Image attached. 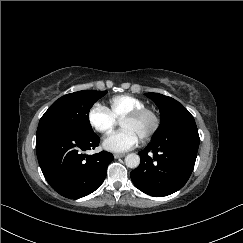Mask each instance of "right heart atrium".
Listing matches in <instances>:
<instances>
[{
    "label": "right heart atrium",
    "instance_id": "obj_1",
    "mask_svg": "<svg viewBox=\"0 0 243 243\" xmlns=\"http://www.w3.org/2000/svg\"><path fill=\"white\" fill-rule=\"evenodd\" d=\"M87 120L95 131L102 134L110 132L117 123V119L110 110L98 103L92 105L88 110Z\"/></svg>",
    "mask_w": 243,
    "mask_h": 243
}]
</instances>
